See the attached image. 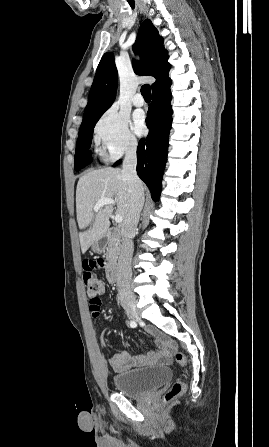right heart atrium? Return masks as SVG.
<instances>
[{
	"mask_svg": "<svg viewBox=\"0 0 269 447\" xmlns=\"http://www.w3.org/2000/svg\"><path fill=\"white\" fill-rule=\"evenodd\" d=\"M94 142L99 153L106 159L116 160L133 152L138 141L131 131L129 118L115 106L108 108L94 126Z\"/></svg>",
	"mask_w": 269,
	"mask_h": 447,
	"instance_id": "d8ad5b80",
	"label": "right heart atrium"
}]
</instances>
